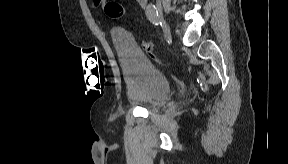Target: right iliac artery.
I'll return each instance as SVG.
<instances>
[{
    "mask_svg": "<svg viewBox=\"0 0 288 164\" xmlns=\"http://www.w3.org/2000/svg\"><path fill=\"white\" fill-rule=\"evenodd\" d=\"M146 15L151 23H153L154 25L159 24V15L155 8L153 9L151 7H148Z\"/></svg>",
    "mask_w": 288,
    "mask_h": 164,
    "instance_id": "obj_1",
    "label": "right iliac artery"
}]
</instances>
